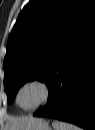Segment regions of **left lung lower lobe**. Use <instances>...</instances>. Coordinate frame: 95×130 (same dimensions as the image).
<instances>
[{
  "label": "left lung lower lobe",
  "instance_id": "left-lung-lower-lobe-1",
  "mask_svg": "<svg viewBox=\"0 0 95 130\" xmlns=\"http://www.w3.org/2000/svg\"><path fill=\"white\" fill-rule=\"evenodd\" d=\"M48 103L34 113L95 129V13L81 24L49 85Z\"/></svg>",
  "mask_w": 95,
  "mask_h": 130
}]
</instances>
